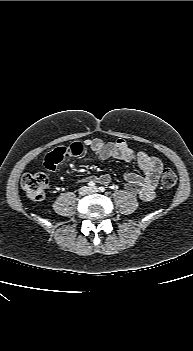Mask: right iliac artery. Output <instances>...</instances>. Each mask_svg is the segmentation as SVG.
I'll use <instances>...</instances> for the list:
<instances>
[{"instance_id": "1", "label": "right iliac artery", "mask_w": 193, "mask_h": 351, "mask_svg": "<svg viewBox=\"0 0 193 351\" xmlns=\"http://www.w3.org/2000/svg\"><path fill=\"white\" fill-rule=\"evenodd\" d=\"M88 186H90V187H95V183L92 182V181H90V182L88 183Z\"/></svg>"}]
</instances>
